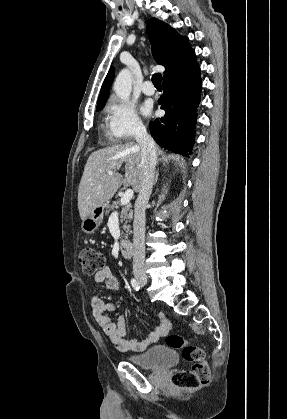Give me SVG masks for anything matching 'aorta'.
I'll use <instances>...</instances> for the list:
<instances>
[{"instance_id": "762f6f07", "label": "aorta", "mask_w": 287, "mask_h": 419, "mask_svg": "<svg viewBox=\"0 0 287 419\" xmlns=\"http://www.w3.org/2000/svg\"><path fill=\"white\" fill-rule=\"evenodd\" d=\"M114 91L121 100H127L132 91V74L129 69H122L114 81Z\"/></svg>"}]
</instances>
